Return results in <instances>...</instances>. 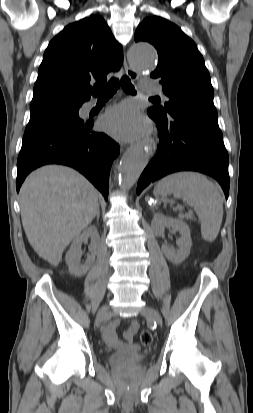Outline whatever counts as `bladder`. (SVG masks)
<instances>
[{
	"label": "bladder",
	"instance_id": "31cf9c89",
	"mask_svg": "<svg viewBox=\"0 0 253 413\" xmlns=\"http://www.w3.org/2000/svg\"><path fill=\"white\" fill-rule=\"evenodd\" d=\"M144 360V355L138 348L112 353L108 361L115 367H131L139 365Z\"/></svg>",
	"mask_w": 253,
	"mask_h": 413
}]
</instances>
